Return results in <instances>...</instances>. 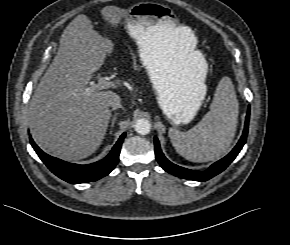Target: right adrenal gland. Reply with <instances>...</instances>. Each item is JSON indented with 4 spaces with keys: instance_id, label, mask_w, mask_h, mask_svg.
Segmentation results:
<instances>
[{
    "instance_id": "obj_1",
    "label": "right adrenal gland",
    "mask_w": 290,
    "mask_h": 245,
    "mask_svg": "<svg viewBox=\"0 0 290 245\" xmlns=\"http://www.w3.org/2000/svg\"><path fill=\"white\" fill-rule=\"evenodd\" d=\"M115 121H116V115L113 116V118H112V120H111V122H112V123H111V128L114 127Z\"/></svg>"
}]
</instances>
